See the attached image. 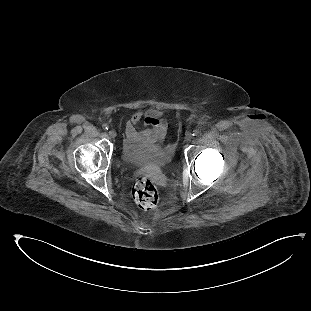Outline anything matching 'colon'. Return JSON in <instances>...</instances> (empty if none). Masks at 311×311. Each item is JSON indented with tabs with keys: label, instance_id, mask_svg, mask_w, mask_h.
I'll use <instances>...</instances> for the list:
<instances>
[{
	"label": "colon",
	"instance_id": "1",
	"mask_svg": "<svg viewBox=\"0 0 311 311\" xmlns=\"http://www.w3.org/2000/svg\"><path fill=\"white\" fill-rule=\"evenodd\" d=\"M132 193L134 201L142 210L154 209L159 202V192L148 178H138L134 182Z\"/></svg>",
	"mask_w": 311,
	"mask_h": 311
}]
</instances>
